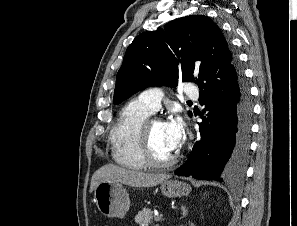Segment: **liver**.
Here are the masks:
<instances>
[{"label": "liver", "instance_id": "obj_1", "mask_svg": "<svg viewBox=\"0 0 297 226\" xmlns=\"http://www.w3.org/2000/svg\"><path fill=\"white\" fill-rule=\"evenodd\" d=\"M170 178L166 174H150L125 169L114 164H106L99 168L92 176L90 193L103 181H117L132 187H152Z\"/></svg>", "mask_w": 297, "mask_h": 226}]
</instances>
